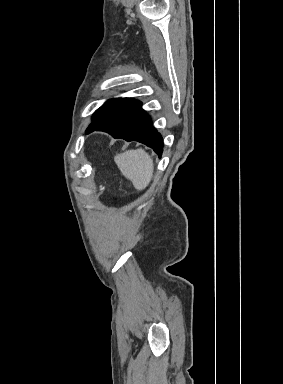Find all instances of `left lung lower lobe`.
<instances>
[{
  "label": "left lung lower lobe",
  "mask_w": 283,
  "mask_h": 384,
  "mask_svg": "<svg viewBox=\"0 0 283 384\" xmlns=\"http://www.w3.org/2000/svg\"><path fill=\"white\" fill-rule=\"evenodd\" d=\"M105 131L114 138L138 141L151 147L159 157L163 151L161 135L152 126L150 117L141 108V102L124 98L87 128L86 133Z\"/></svg>",
  "instance_id": "obj_1"
}]
</instances>
